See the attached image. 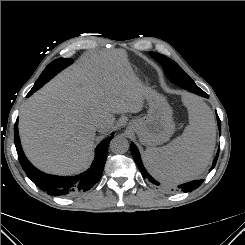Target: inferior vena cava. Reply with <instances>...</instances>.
<instances>
[{"label": "inferior vena cava", "instance_id": "602c4592", "mask_svg": "<svg viewBox=\"0 0 245 245\" xmlns=\"http://www.w3.org/2000/svg\"><path fill=\"white\" fill-rule=\"evenodd\" d=\"M103 126H104V123L103 122H98L97 125H96L97 129H100Z\"/></svg>", "mask_w": 245, "mask_h": 245}]
</instances>
